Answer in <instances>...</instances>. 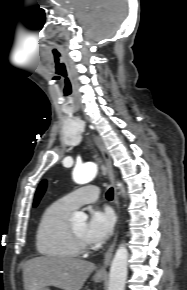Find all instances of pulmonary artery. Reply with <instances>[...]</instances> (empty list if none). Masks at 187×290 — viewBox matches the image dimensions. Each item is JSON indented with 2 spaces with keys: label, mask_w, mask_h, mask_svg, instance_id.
Returning <instances> with one entry per match:
<instances>
[{
  "label": "pulmonary artery",
  "mask_w": 187,
  "mask_h": 290,
  "mask_svg": "<svg viewBox=\"0 0 187 290\" xmlns=\"http://www.w3.org/2000/svg\"><path fill=\"white\" fill-rule=\"evenodd\" d=\"M100 188L90 184L80 187L62 197V201L72 209L79 206L96 201L99 197Z\"/></svg>",
  "instance_id": "obj_1"
}]
</instances>
